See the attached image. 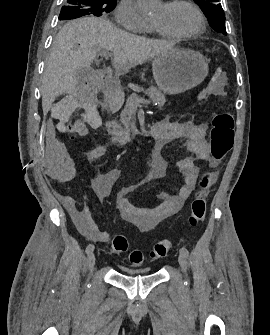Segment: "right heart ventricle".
Segmentation results:
<instances>
[{
  "instance_id": "right-heart-ventricle-1",
  "label": "right heart ventricle",
  "mask_w": 270,
  "mask_h": 335,
  "mask_svg": "<svg viewBox=\"0 0 270 335\" xmlns=\"http://www.w3.org/2000/svg\"><path fill=\"white\" fill-rule=\"evenodd\" d=\"M151 26V25H150ZM153 29H152V27H151V31H152ZM161 78H169V77H161Z\"/></svg>"
}]
</instances>
